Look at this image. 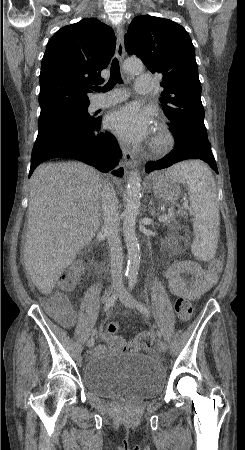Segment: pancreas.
<instances>
[{"label":"pancreas","instance_id":"pancreas-1","mask_svg":"<svg viewBox=\"0 0 245 450\" xmlns=\"http://www.w3.org/2000/svg\"><path fill=\"white\" fill-rule=\"evenodd\" d=\"M172 222H174L175 224H177V222L175 221V219H174L173 217H170V218H168L167 220H165V221H164V224L167 225V226H169V227L175 228V226L171 224Z\"/></svg>","mask_w":245,"mask_h":450}]
</instances>
